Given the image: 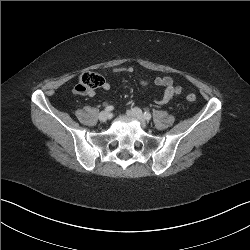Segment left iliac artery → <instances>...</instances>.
<instances>
[{
  "label": "left iliac artery",
  "mask_w": 250,
  "mask_h": 250,
  "mask_svg": "<svg viewBox=\"0 0 250 250\" xmlns=\"http://www.w3.org/2000/svg\"><path fill=\"white\" fill-rule=\"evenodd\" d=\"M151 114L149 113V112H144V118L146 119V120H150L151 119Z\"/></svg>",
  "instance_id": "1"
}]
</instances>
